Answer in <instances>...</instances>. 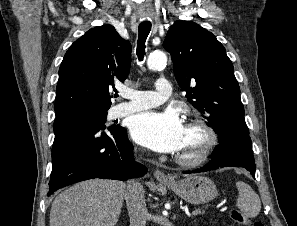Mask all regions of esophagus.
<instances>
[{"label": "esophagus", "instance_id": "esophagus-1", "mask_svg": "<svg viewBox=\"0 0 297 226\" xmlns=\"http://www.w3.org/2000/svg\"><path fill=\"white\" fill-rule=\"evenodd\" d=\"M154 177L159 181V182H170L173 181V179L169 176H167L164 172L161 170H155L154 171Z\"/></svg>", "mask_w": 297, "mask_h": 226}]
</instances>
